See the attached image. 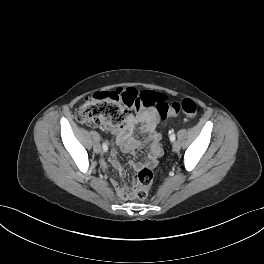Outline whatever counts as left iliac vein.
Segmentation results:
<instances>
[{
  "label": "left iliac vein",
  "instance_id": "obj_1",
  "mask_svg": "<svg viewBox=\"0 0 264 264\" xmlns=\"http://www.w3.org/2000/svg\"><path fill=\"white\" fill-rule=\"evenodd\" d=\"M172 149L174 152H178L180 150V143L178 141L173 142Z\"/></svg>",
  "mask_w": 264,
  "mask_h": 264
}]
</instances>
